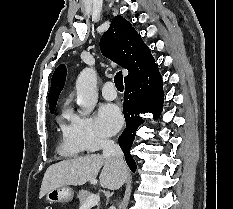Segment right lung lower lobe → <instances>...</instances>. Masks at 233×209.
Masks as SVG:
<instances>
[{
    "mask_svg": "<svg viewBox=\"0 0 233 209\" xmlns=\"http://www.w3.org/2000/svg\"><path fill=\"white\" fill-rule=\"evenodd\" d=\"M163 101L162 77L157 65L142 77L126 84L123 106L126 128L118 142L132 172L136 170V163L130 154V149L135 139V133L143 123L139 115L150 112L156 119L161 113Z\"/></svg>",
    "mask_w": 233,
    "mask_h": 209,
    "instance_id": "98d812e1",
    "label": "right lung lower lobe"
}]
</instances>
